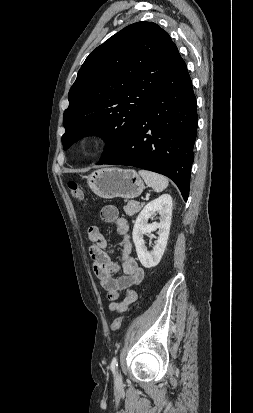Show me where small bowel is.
Returning a JSON list of instances; mask_svg holds the SVG:
<instances>
[{"label":"small bowel","mask_w":253,"mask_h":413,"mask_svg":"<svg viewBox=\"0 0 253 413\" xmlns=\"http://www.w3.org/2000/svg\"><path fill=\"white\" fill-rule=\"evenodd\" d=\"M101 219L115 226L121 240L118 248L121 250V263L114 262L111 255L115 248L107 250V239L97 226L88 228L90 241L89 254L92 267L100 285L106 290L109 309L114 312H125L136 301L138 294L135 287L144 279V270L132 256L133 244L128 233L126 219L119 216L118 209L113 205L104 206L100 212ZM122 270L123 275L116 276ZM125 291L122 301H118L120 292Z\"/></svg>","instance_id":"1"}]
</instances>
